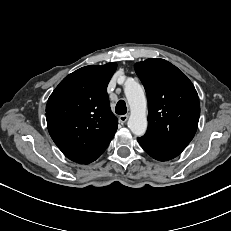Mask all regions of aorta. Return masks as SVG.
<instances>
[{
  "instance_id": "762f6f07",
  "label": "aorta",
  "mask_w": 231,
  "mask_h": 231,
  "mask_svg": "<svg viewBox=\"0 0 231 231\" xmlns=\"http://www.w3.org/2000/svg\"><path fill=\"white\" fill-rule=\"evenodd\" d=\"M124 92L130 106L128 127L136 136H142L147 129L146 98L142 86L129 78L125 83Z\"/></svg>"
}]
</instances>
